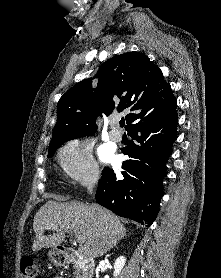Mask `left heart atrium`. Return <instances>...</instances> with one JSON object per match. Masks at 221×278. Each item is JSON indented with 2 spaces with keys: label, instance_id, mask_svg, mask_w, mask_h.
I'll return each instance as SVG.
<instances>
[{
  "label": "left heart atrium",
  "instance_id": "39dd6f15",
  "mask_svg": "<svg viewBox=\"0 0 221 278\" xmlns=\"http://www.w3.org/2000/svg\"><path fill=\"white\" fill-rule=\"evenodd\" d=\"M100 157L104 162H109L113 160L114 155L112 150L108 146H104L100 150Z\"/></svg>",
  "mask_w": 221,
  "mask_h": 278
}]
</instances>
